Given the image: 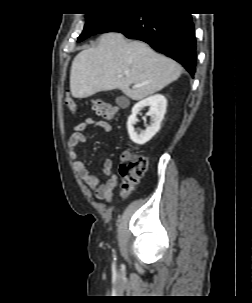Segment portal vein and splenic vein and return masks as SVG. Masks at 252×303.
I'll list each match as a JSON object with an SVG mask.
<instances>
[{"instance_id":"portal-vein-and-splenic-vein-1","label":"portal vein and splenic vein","mask_w":252,"mask_h":303,"mask_svg":"<svg viewBox=\"0 0 252 303\" xmlns=\"http://www.w3.org/2000/svg\"><path fill=\"white\" fill-rule=\"evenodd\" d=\"M134 87H138V85H134Z\"/></svg>"}]
</instances>
